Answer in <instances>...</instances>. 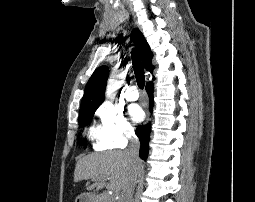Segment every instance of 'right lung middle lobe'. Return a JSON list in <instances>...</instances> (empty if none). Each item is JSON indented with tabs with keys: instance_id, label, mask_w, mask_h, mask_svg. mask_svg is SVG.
Wrapping results in <instances>:
<instances>
[{
	"instance_id": "obj_1",
	"label": "right lung middle lobe",
	"mask_w": 255,
	"mask_h": 202,
	"mask_svg": "<svg viewBox=\"0 0 255 202\" xmlns=\"http://www.w3.org/2000/svg\"><path fill=\"white\" fill-rule=\"evenodd\" d=\"M96 109H85L79 112V125L84 127L94 115Z\"/></svg>"
}]
</instances>
